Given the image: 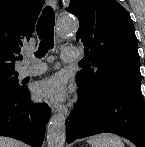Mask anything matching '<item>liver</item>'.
<instances>
[{"label":"liver","mask_w":145,"mask_h":147,"mask_svg":"<svg viewBox=\"0 0 145 147\" xmlns=\"http://www.w3.org/2000/svg\"><path fill=\"white\" fill-rule=\"evenodd\" d=\"M0 147H25V145L12 138L0 137Z\"/></svg>","instance_id":"obj_1"}]
</instances>
